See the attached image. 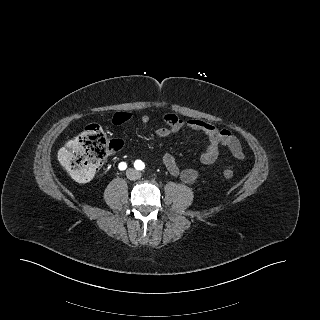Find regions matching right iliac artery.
Segmentation results:
<instances>
[{
    "label": "right iliac artery",
    "instance_id": "obj_1",
    "mask_svg": "<svg viewBox=\"0 0 320 320\" xmlns=\"http://www.w3.org/2000/svg\"><path fill=\"white\" fill-rule=\"evenodd\" d=\"M118 168L120 170H125L127 168V164L125 162H121L119 163Z\"/></svg>",
    "mask_w": 320,
    "mask_h": 320
}]
</instances>
